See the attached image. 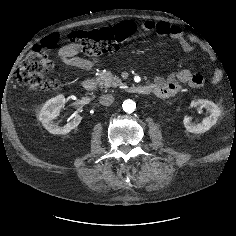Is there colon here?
<instances>
[{
    "instance_id": "1",
    "label": "colon",
    "mask_w": 236,
    "mask_h": 236,
    "mask_svg": "<svg viewBox=\"0 0 236 236\" xmlns=\"http://www.w3.org/2000/svg\"><path fill=\"white\" fill-rule=\"evenodd\" d=\"M134 31L135 25L125 21L113 27L74 31L67 35V40L88 55H100L118 49ZM59 39V34H50L29 52L17 71L19 84L33 91L56 87L57 81L50 77L53 63L48 51L58 44Z\"/></svg>"
}]
</instances>
